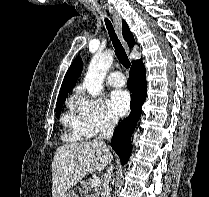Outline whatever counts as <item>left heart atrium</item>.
Returning a JSON list of instances; mask_svg holds the SVG:
<instances>
[{"label":"left heart atrium","mask_w":209,"mask_h":197,"mask_svg":"<svg viewBox=\"0 0 209 197\" xmlns=\"http://www.w3.org/2000/svg\"><path fill=\"white\" fill-rule=\"evenodd\" d=\"M108 105L116 115H124L130 106V95L126 90H114L111 92Z\"/></svg>","instance_id":"left-heart-atrium-1"}]
</instances>
